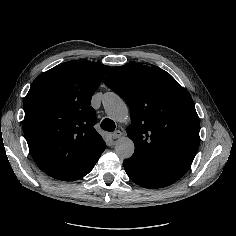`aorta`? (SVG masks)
Listing matches in <instances>:
<instances>
[{
    "label": "aorta",
    "instance_id": "1",
    "mask_svg": "<svg viewBox=\"0 0 236 236\" xmlns=\"http://www.w3.org/2000/svg\"><path fill=\"white\" fill-rule=\"evenodd\" d=\"M102 103L107 115L117 121L123 122L128 118L126 103L115 93L104 94ZM134 142L128 137H120L115 144V152L120 158H129L134 153Z\"/></svg>",
    "mask_w": 236,
    "mask_h": 236
}]
</instances>
